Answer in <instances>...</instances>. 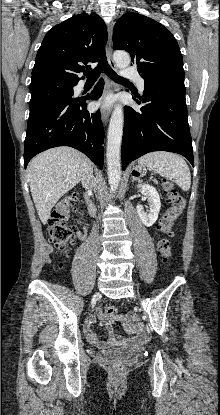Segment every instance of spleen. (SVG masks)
<instances>
[{"label": "spleen", "instance_id": "1", "mask_svg": "<svg viewBox=\"0 0 220 415\" xmlns=\"http://www.w3.org/2000/svg\"><path fill=\"white\" fill-rule=\"evenodd\" d=\"M142 168L150 170L173 181L183 190L188 191L191 185V174L187 163L182 157L169 152H152L138 159Z\"/></svg>", "mask_w": 220, "mask_h": 415}]
</instances>
